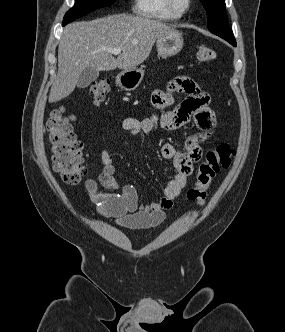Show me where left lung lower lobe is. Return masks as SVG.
Listing matches in <instances>:
<instances>
[{
    "label": "left lung lower lobe",
    "mask_w": 285,
    "mask_h": 332,
    "mask_svg": "<svg viewBox=\"0 0 285 332\" xmlns=\"http://www.w3.org/2000/svg\"><path fill=\"white\" fill-rule=\"evenodd\" d=\"M230 44H232L233 46H236V41L235 40H227Z\"/></svg>",
    "instance_id": "1"
}]
</instances>
